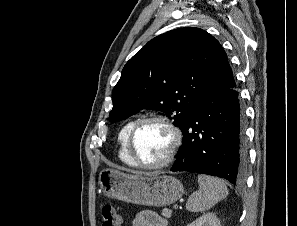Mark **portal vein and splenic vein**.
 Listing matches in <instances>:
<instances>
[{
    "label": "portal vein and splenic vein",
    "mask_w": 297,
    "mask_h": 226,
    "mask_svg": "<svg viewBox=\"0 0 297 226\" xmlns=\"http://www.w3.org/2000/svg\"><path fill=\"white\" fill-rule=\"evenodd\" d=\"M173 208H174V209H178V204H174V205H173Z\"/></svg>",
    "instance_id": "portal-vein-and-splenic-vein-1"
}]
</instances>
